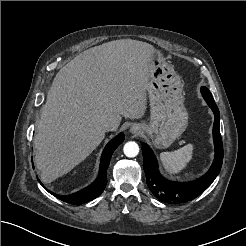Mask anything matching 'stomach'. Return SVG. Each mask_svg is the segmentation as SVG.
I'll return each mask as SVG.
<instances>
[{
    "label": "stomach",
    "mask_w": 246,
    "mask_h": 246,
    "mask_svg": "<svg viewBox=\"0 0 246 246\" xmlns=\"http://www.w3.org/2000/svg\"><path fill=\"white\" fill-rule=\"evenodd\" d=\"M152 72L148 82L150 121L144 131L154 147L168 148L185 131L188 113L184 107L183 83L163 60L160 51L151 57Z\"/></svg>",
    "instance_id": "1"
}]
</instances>
